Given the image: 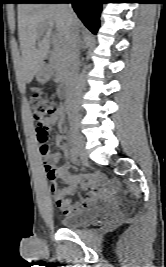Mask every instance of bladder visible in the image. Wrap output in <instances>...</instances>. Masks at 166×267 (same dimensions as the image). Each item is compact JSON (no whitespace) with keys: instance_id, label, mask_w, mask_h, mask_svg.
<instances>
[{"instance_id":"1","label":"bladder","mask_w":166,"mask_h":267,"mask_svg":"<svg viewBox=\"0 0 166 267\" xmlns=\"http://www.w3.org/2000/svg\"><path fill=\"white\" fill-rule=\"evenodd\" d=\"M99 214L98 209H88L70 215H65L61 219V225L67 229H74L94 220Z\"/></svg>"}]
</instances>
